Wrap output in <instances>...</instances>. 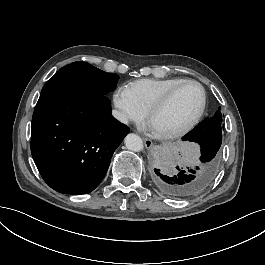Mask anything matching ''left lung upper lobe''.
<instances>
[{
	"instance_id": "1",
	"label": "left lung upper lobe",
	"mask_w": 265,
	"mask_h": 265,
	"mask_svg": "<svg viewBox=\"0 0 265 265\" xmlns=\"http://www.w3.org/2000/svg\"><path fill=\"white\" fill-rule=\"evenodd\" d=\"M210 120L213 122V124H217L222 126V114L220 111H217L216 114L210 118Z\"/></svg>"
}]
</instances>
